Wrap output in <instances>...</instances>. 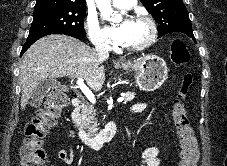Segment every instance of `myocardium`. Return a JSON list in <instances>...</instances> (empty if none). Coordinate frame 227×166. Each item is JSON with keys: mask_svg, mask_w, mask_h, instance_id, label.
<instances>
[{"mask_svg": "<svg viewBox=\"0 0 227 166\" xmlns=\"http://www.w3.org/2000/svg\"><path fill=\"white\" fill-rule=\"evenodd\" d=\"M134 20L142 21L147 25L148 36L141 43L129 45V46L126 45L125 49L130 50V51H141V50L148 48L155 41V39L157 37V33H158L157 26H156L154 20L145 13L135 14Z\"/></svg>", "mask_w": 227, "mask_h": 166, "instance_id": "1", "label": "myocardium"}]
</instances>
